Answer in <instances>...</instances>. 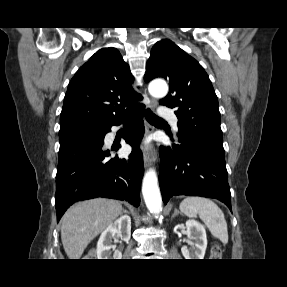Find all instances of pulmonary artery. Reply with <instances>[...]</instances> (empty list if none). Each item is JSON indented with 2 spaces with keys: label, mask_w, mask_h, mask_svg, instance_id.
Instances as JSON below:
<instances>
[{
  "label": "pulmonary artery",
  "mask_w": 287,
  "mask_h": 287,
  "mask_svg": "<svg viewBox=\"0 0 287 287\" xmlns=\"http://www.w3.org/2000/svg\"><path fill=\"white\" fill-rule=\"evenodd\" d=\"M159 115L163 117H168L172 120L175 127H177L178 119L176 116L173 115V112L170 108L162 106L159 109Z\"/></svg>",
  "instance_id": "obj_1"
}]
</instances>
